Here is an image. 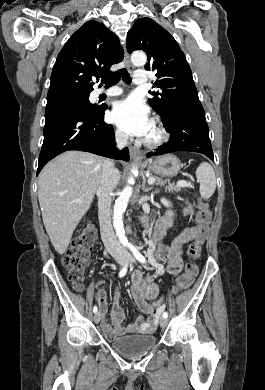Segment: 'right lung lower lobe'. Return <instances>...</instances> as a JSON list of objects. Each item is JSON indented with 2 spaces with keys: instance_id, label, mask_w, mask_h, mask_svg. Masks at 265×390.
Masks as SVG:
<instances>
[{
  "instance_id": "right-lung-lower-lobe-1",
  "label": "right lung lower lobe",
  "mask_w": 265,
  "mask_h": 390,
  "mask_svg": "<svg viewBox=\"0 0 265 390\" xmlns=\"http://www.w3.org/2000/svg\"><path fill=\"white\" fill-rule=\"evenodd\" d=\"M106 109L107 106L89 109L73 104L46 106L37 175L49 160L66 150L87 151L128 161V149L119 151L116 148L113 126L104 122Z\"/></svg>"
}]
</instances>
